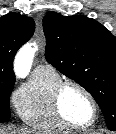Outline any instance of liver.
I'll use <instances>...</instances> for the list:
<instances>
[{
  "label": "liver",
  "mask_w": 116,
  "mask_h": 134,
  "mask_svg": "<svg viewBox=\"0 0 116 134\" xmlns=\"http://www.w3.org/2000/svg\"><path fill=\"white\" fill-rule=\"evenodd\" d=\"M0 134H32V133L31 131L26 129L0 128Z\"/></svg>",
  "instance_id": "1"
}]
</instances>
